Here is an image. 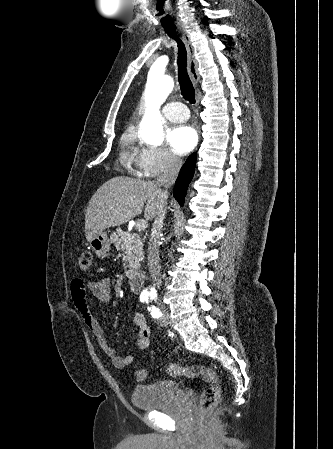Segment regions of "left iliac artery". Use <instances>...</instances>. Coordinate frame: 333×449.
<instances>
[{"mask_svg":"<svg viewBox=\"0 0 333 449\" xmlns=\"http://www.w3.org/2000/svg\"><path fill=\"white\" fill-rule=\"evenodd\" d=\"M148 310L151 312V315L154 318H159L162 315V313L159 311V309L156 308L155 306L148 307Z\"/></svg>","mask_w":333,"mask_h":449,"instance_id":"1","label":"left iliac artery"}]
</instances>
